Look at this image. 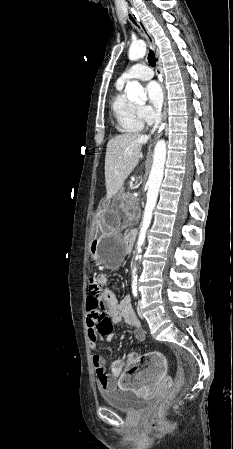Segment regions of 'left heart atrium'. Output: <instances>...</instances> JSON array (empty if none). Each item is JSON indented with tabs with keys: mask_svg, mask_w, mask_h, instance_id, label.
Here are the masks:
<instances>
[{
	"mask_svg": "<svg viewBox=\"0 0 233 449\" xmlns=\"http://www.w3.org/2000/svg\"><path fill=\"white\" fill-rule=\"evenodd\" d=\"M147 95L150 103L154 106V108L159 109L162 105L164 94L161 86L152 81L146 86Z\"/></svg>",
	"mask_w": 233,
	"mask_h": 449,
	"instance_id": "obj_1",
	"label": "left heart atrium"
}]
</instances>
